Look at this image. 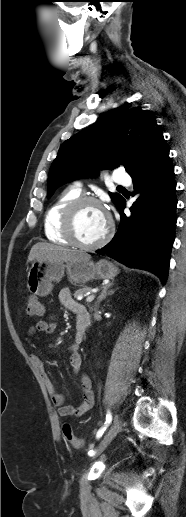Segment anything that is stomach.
<instances>
[{"mask_svg": "<svg viewBox=\"0 0 186 517\" xmlns=\"http://www.w3.org/2000/svg\"><path fill=\"white\" fill-rule=\"evenodd\" d=\"M65 272L71 282L82 284L92 279H112L118 268L107 260L81 262L34 261L28 271L27 287L34 295L46 296L53 288L52 282H59Z\"/></svg>", "mask_w": 186, "mask_h": 517, "instance_id": "0dacf381", "label": "stomach"}]
</instances>
